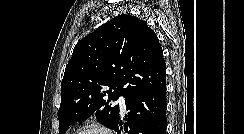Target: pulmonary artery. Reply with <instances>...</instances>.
Instances as JSON below:
<instances>
[{
	"label": "pulmonary artery",
	"instance_id": "1",
	"mask_svg": "<svg viewBox=\"0 0 244 134\" xmlns=\"http://www.w3.org/2000/svg\"><path fill=\"white\" fill-rule=\"evenodd\" d=\"M118 103H119V105H120L121 110H122V111H125V110H126V107H125V100H124V98H123L122 96L119 97V99H118Z\"/></svg>",
	"mask_w": 244,
	"mask_h": 134
}]
</instances>
